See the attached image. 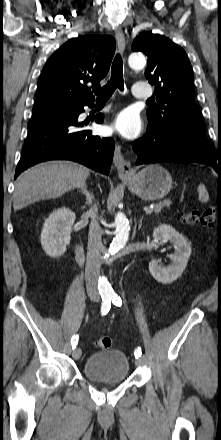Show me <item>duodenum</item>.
<instances>
[{"label": "duodenum", "mask_w": 221, "mask_h": 440, "mask_svg": "<svg viewBox=\"0 0 221 440\" xmlns=\"http://www.w3.org/2000/svg\"><path fill=\"white\" fill-rule=\"evenodd\" d=\"M75 258L78 263H83L85 260V253L81 246H78L75 250Z\"/></svg>", "instance_id": "obj_1"}]
</instances>
